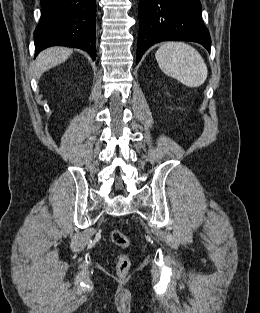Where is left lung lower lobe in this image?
<instances>
[{"label":"left lung lower lobe","instance_id":"obj_1","mask_svg":"<svg viewBox=\"0 0 260 313\" xmlns=\"http://www.w3.org/2000/svg\"><path fill=\"white\" fill-rule=\"evenodd\" d=\"M201 11L200 0H139L137 63L150 46L167 40L197 42L210 52Z\"/></svg>","mask_w":260,"mask_h":313}]
</instances>
